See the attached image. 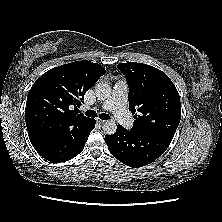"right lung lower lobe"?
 Masks as SVG:
<instances>
[{"mask_svg":"<svg viewBox=\"0 0 222 222\" xmlns=\"http://www.w3.org/2000/svg\"><path fill=\"white\" fill-rule=\"evenodd\" d=\"M95 124L96 121L91 118L90 122L81 130L56 134L52 138L33 146L43 158L50 162L68 161L82 152Z\"/></svg>","mask_w":222,"mask_h":222,"instance_id":"obj_1","label":"right lung lower lobe"}]
</instances>
